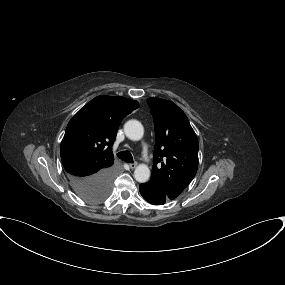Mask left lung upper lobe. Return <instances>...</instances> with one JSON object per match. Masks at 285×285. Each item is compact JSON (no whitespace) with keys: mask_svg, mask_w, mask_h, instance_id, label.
Segmentation results:
<instances>
[{"mask_svg":"<svg viewBox=\"0 0 285 285\" xmlns=\"http://www.w3.org/2000/svg\"><path fill=\"white\" fill-rule=\"evenodd\" d=\"M155 124L154 165L150 180L156 181L173 199L194 178L199 143L185 113L173 102L147 99Z\"/></svg>","mask_w":285,"mask_h":285,"instance_id":"left-lung-upper-lobe-1","label":"left lung upper lobe"}]
</instances>
